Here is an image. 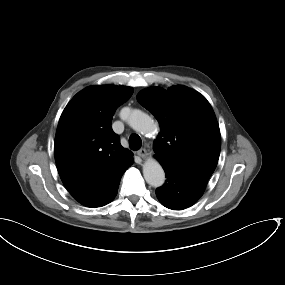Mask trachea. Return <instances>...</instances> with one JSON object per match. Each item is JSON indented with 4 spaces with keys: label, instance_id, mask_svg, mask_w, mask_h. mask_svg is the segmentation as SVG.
<instances>
[{
    "label": "trachea",
    "instance_id": "trachea-1",
    "mask_svg": "<svg viewBox=\"0 0 285 285\" xmlns=\"http://www.w3.org/2000/svg\"><path fill=\"white\" fill-rule=\"evenodd\" d=\"M142 145V140L137 134H132L129 137V146L132 150H139Z\"/></svg>",
    "mask_w": 285,
    "mask_h": 285
}]
</instances>
